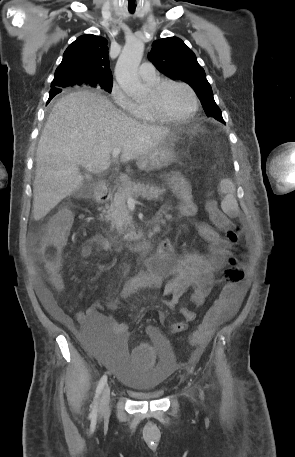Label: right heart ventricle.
Segmentation results:
<instances>
[{
	"label": "right heart ventricle",
	"mask_w": 295,
	"mask_h": 457,
	"mask_svg": "<svg viewBox=\"0 0 295 457\" xmlns=\"http://www.w3.org/2000/svg\"><path fill=\"white\" fill-rule=\"evenodd\" d=\"M155 82H149L150 84H155ZM134 117L142 122V123H156L157 120L152 116V114L149 112L147 106L145 104H137V110L134 115Z\"/></svg>",
	"instance_id": "obj_1"
}]
</instances>
